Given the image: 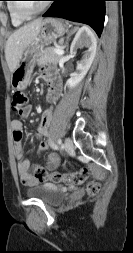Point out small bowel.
Here are the masks:
<instances>
[{
  "instance_id": "small-bowel-1",
  "label": "small bowel",
  "mask_w": 133,
  "mask_h": 253,
  "mask_svg": "<svg viewBox=\"0 0 133 253\" xmlns=\"http://www.w3.org/2000/svg\"><path fill=\"white\" fill-rule=\"evenodd\" d=\"M41 77L49 84V92L47 99L50 103L54 104L59 98L61 93V82L57 79L55 74L47 66L41 68ZM32 112V107L27 105L23 112L22 117H28ZM53 107L44 111L41 123L38 127L37 134L41 137H48L49 126L52 120ZM11 128L14 141V152L17 160V170L19 178L24 185L32 186L40 182L35 173L31 171L30 163L24 158V149L22 145L23 137V124L19 119H14L11 122ZM49 148V141L42 140L39 144L38 154L42 155ZM47 171L57 168L60 163V157L55 153H50L45 157Z\"/></svg>"
}]
</instances>
